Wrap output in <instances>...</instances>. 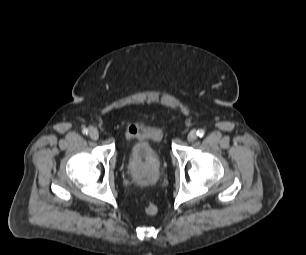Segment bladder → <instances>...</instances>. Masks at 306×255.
I'll list each match as a JSON object with an SVG mask.
<instances>
[{
  "label": "bladder",
  "mask_w": 306,
  "mask_h": 255,
  "mask_svg": "<svg viewBox=\"0 0 306 255\" xmlns=\"http://www.w3.org/2000/svg\"><path fill=\"white\" fill-rule=\"evenodd\" d=\"M136 134H126L124 146L133 169L157 166L163 156V130L155 125H139Z\"/></svg>",
  "instance_id": "31cf9c89"
}]
</instances>
